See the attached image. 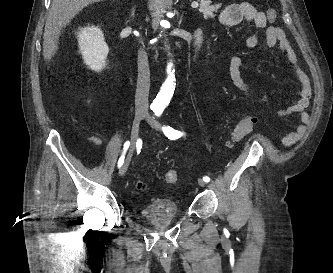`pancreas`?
Returning a JSON list of instances; mask_svg holds the SVG:
<instances>
[{"label": "pancreas", "mask_w": 333, "mask_h": 273, "mask_svg": "<svg viewBox=\"0 0 333 273\" xmlns=\"http://www.w3.org/2000/svg\"><path fill=\"white\" fill-rule=\"evenodd\" d=\"M199 2H200L199 11L203 14L204 18L205 19L214 18L215 17L214 12L217 11V7L211 5V2L209 0H199Z\"/></svg>", "instance_id": "cf45deb5"}]
</instances>
